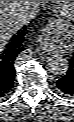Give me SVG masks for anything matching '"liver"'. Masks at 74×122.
I'll return each instance as SVG.
<instances>
[{
  "instance_id": "1",
  "label": "liver",
  "mask_w": 74,
  "mask_h": 122,
  "mask_svg": "<svg viewBox=\"0 0 74 122\" xmlns=\"http://www.w3.org/2000/svg\"><path fill=\"white\" fill-rule=\"evenodd\" d=\"M37 1H0V49L22 27L20 14L26 7H33Z\"/></svg>"
}]
</instances>
